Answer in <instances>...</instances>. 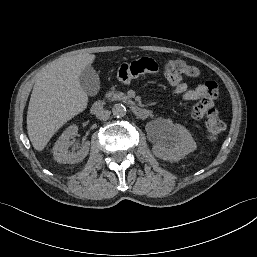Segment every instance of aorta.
<instances>
[{
  "instance_id": "aorta-1",
  "label": "aorta",
  "mask_w": 257,
  "mask_h": 257,
  "mask_svg": "<svg viewBox=\"0 0 257 257\" xmlns=\"http://www.w3.org/2000/svg\"><path fill=\"white\" fill-rule=\"evenodd\" d=\"M112 113L115 117H124L127 110L123 104L117 103L112 107Z\"/></svg>"
}]
</instances>
